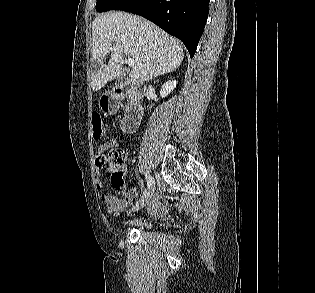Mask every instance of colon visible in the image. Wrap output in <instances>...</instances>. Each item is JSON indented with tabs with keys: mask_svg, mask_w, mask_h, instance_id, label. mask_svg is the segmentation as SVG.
Returning a JSON list of instances; mask_svg holds the SVG:
<instances>
[{
	"mask_svg": "<svg viewBox=\"0 0 315 293\" xmlns=\"http://www.w3.org/2000/svg\"><path fill=\"white\" fill-rule=\"evenodd\" d=\"M92 133L95 139H100L104 135V125L101 116L98 113H93L91 118ZM126 155L123 149L113 145L110 151L104 155H100L96 158L97 165H105L106 163L110 167V177L112 185L118 191H124V162ZM133 190V189H129ZM128 197V196H127Z\"/></svg>",
	"mask_w": 315,
	"mask_h": 293,
	"instance_id": "1",
	"label": "colon"
}]
</instances>
